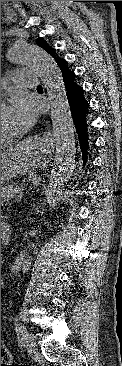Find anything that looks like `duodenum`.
<instances>
[{
  "label": "duodenum",
  "mask_w": 122,
  "mask_h": 366,
  "mask_svg": "<svg viewBox=\"0 0 122 366\" xmlns=\"http://www.w3.org/2000/svg\"><path fill=\"white\" fill-rule=\"evenodd\" d=\"M1 241H5V242L8 241L7 235L1 233Z\"/></svg>",
  "instance_id": "obj_1"
}]
</instances>
